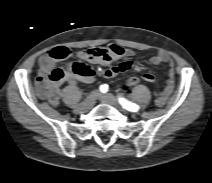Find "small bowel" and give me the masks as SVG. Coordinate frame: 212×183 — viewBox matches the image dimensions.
I'll return each instance as SVG.
<instances>
[{
    "label": "small bowel",
    "mask_w": 212,
    "mask_h": 183,
    "mask_svg": "<svg viewBox=\"0 0 212 183\" xmlns=\"http://www.w3.org/2000/svg\"><path fill=\"white\" fill-rule=\"evenodd\" d=\"M134 52L130 49H125L119 45H109L106 47H94L78 52L77 56L84 61L92 64L109 65L121 58L133 56ZM56 62L49 54L43 55L39 59V65L42 70H49L56 66ZM150 63L153 65H159L167 63L169 66V73L167 82L161 92L156 94L155 102L158 106H163L171 95L174 88L175 73L173 69V61L170 59L167 52L164 50L158 51L150 58ZM131 62H123L117 66H111L105 70L104 76L106 78H112L118 75L120 72L130 69ZM142 78L147 83H153L155 76L152 73H142ZM82 81L85 83H93L95 81V71L93 68L87 66V73L85 75H78L71 71H66L62 81L58 83H52L49 81L39 80L38 90L43 99H46L52 106H58L60 101V84L66 82L70 85L76 83V81Z\"/></svg>",
    "instance_id": "small-bowel-1"
}]
</instances>
